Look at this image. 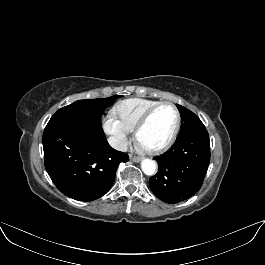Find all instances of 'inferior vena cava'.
Listing matches in <instances>:
<instances>
[{"label": "inferior vena cava", "mask_w": 265, "mask_h": 265, "mask_svg": "<svg viewBox=\"0 0 265 265\" xmlns=\"http://www.w3.org/2000/svg\"><path fill=\"white\" fill-rule=\"evenodd\" d=\"M108 143L112 148L122 152H126L128 149L127 142L124 139L115 136H110L108 138Z\"/></svg>", "instance_id": "inferior-vena-cava-1"}]
</instances>
